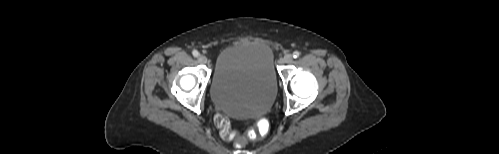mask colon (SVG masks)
I'll use <instances>...</instances> for the list:
<instances>
[{
    "mask_svg": "<svg viewBox=\"0 0 499 154\" xmlns=\"http://www.w3.org/2000/svg\"><path fill=\"white\" fill-rule=\"evenodd\" d=\"M214 123L220 129L221 136L227 141H233L237 147H243L247 140L256 138L258 135L264 136L268 132V124L260 123L256 131L240 133L232 129L227 116L217 113L214 116Z\"/></svg>",
    "mask_w": 499,
    "mask_h": 154,
    "instance_id": "obj_1",
    "label": "colon"
}]
</instances>
